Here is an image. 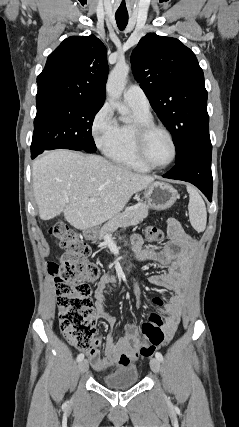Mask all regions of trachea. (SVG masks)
Instances as JSON below:
<instances>
[{
	"label": "trachea",
	"mask_w": 239,
	"mask_h": 427,
	"mask_svg": "<svg viewBox=\"0 0 239 427\" xmlns=\"http://www.w3.org/2000/svg\"><path fill=\"white\" fill-rule=\"evenodd\" d=\"M115 19L120 30L125 29L128 23V15H115Z\"/></svg>",
	"instance_id": "trachea-1"
}]
</instances>
